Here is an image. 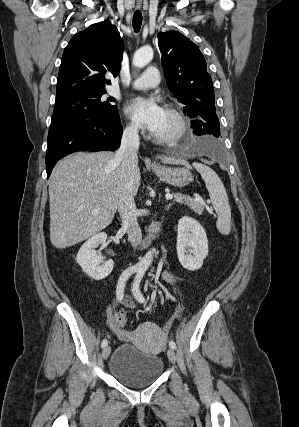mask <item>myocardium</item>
Instances as JSON below:
<instances>
[{"instance_id":"f54148a6","label":"myocardium","mask_w":299,"mask_h":427,"mask_svg":"<svg viewBox=\"0 0 299 427\" xmlns=\"http://www.w3.org/2000/svg\"><path fill=\"white\" fill-rule=\"evenodd\" d=\"M165 112L174 119L176 128L172 133L167 135L153 134V138L158 143L170 144L179 141L186 134L187 122L182 112L172 105H167Z\"/></svg>"}]
</instances>
